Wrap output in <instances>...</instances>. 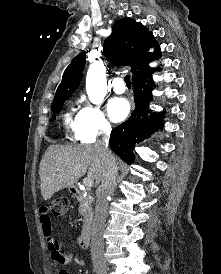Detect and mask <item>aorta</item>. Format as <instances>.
<instances>
[{
    "label": "aorta",
    "mask_w": 221,
    "mask_h": 274,
    "mask_svg": "<svg viewBox=\"0 0 221 274\" xmlns=\"http://www.w3.org/2000/svg\"><path fill=\"white\" fill-rule=\"evenodd\" d=\"M86 91L89 100L94 104H100L106 94V73L101 66L91 65L86 76Z\"/></svg>",
    "instance_id": "aorta-1"
}]
</instances>
